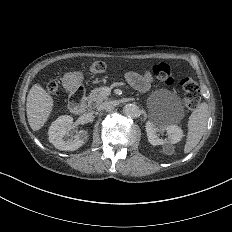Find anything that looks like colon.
<instances>
[{
  "instance_id": "colon-1",
  "label": "colon",
  "mask_w": 232,
  "mask_h": 232,
  "mask_svg": "<svg viewBox=\"0 0 232 232\" xmlns=\"http://www.w3.org/2000/svg\"><path fill=\"white\" fill-rule=\"evenodd\" d=\"M103 65V61H94L90 65H86L87 73H91L92 76H97L98 73H104ZM153 71L158 81L166 87H174L177 83L178 86H188V89H185V94H182V99H186V106H183V111H198V107H201V102H199V97H195V94H201L203 86H192L190 77H179L178 81V78L174 74H170L162 62H157L153 66ZM46 85L49 94L57 93L54 81H49V84Z\"/></svg>"
}]
</instances>
